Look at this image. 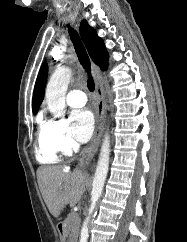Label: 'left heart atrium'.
Here are the masks:
<instances>
[{
  "label": "left heart atrium",
  "mask_w": 187,
  "mask_h": 242,
  "mask_svg": "<svg viewBox=\"0 0 187 242\" xmlns=\"http://www.w3.org/2000/svg\"><path fill=\"white\" fill-rule=\"evenodd\" d=\"M71 133L80 142L90 139L95 125L93 113L86 109H77L71 112Z\"/></svg>",
  "instance_id": "39dd6f15"
}]
</instances>
